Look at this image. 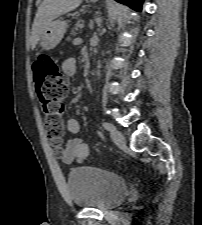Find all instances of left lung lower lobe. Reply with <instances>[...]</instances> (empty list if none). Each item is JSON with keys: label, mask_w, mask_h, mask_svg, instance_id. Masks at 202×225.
I'll use <instances>...</instances> for the list:
<instances>
[{"label": "left lung lower lobe", "mask_w": 202, "mask_h": 225, "mask_svg": "<svg viewBox=\"0 0 202 225\" xmlns=\"http://www.w3.org/2000/svg\"><path fill=\"white\" fill-rule=\"evenodd\" d=\"M116 1L127 4L138 11L141 10V6L143 2V0H116Z\"/></svg>", "instance_id": "0a47b994"}]
</instances>
